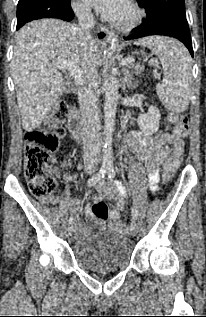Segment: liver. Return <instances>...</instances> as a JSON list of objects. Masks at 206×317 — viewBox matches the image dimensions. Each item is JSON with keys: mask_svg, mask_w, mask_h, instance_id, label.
<instances>
[{"mask_svg": "<svg viewBox=\"0 0 206 317\" xmlns=\"http://www.w3.org/2000/svg\"><path fill=\"white\" fill-rule=\"evenodd\" d=\"M77 30L60 20L42 19L17 33L12 75L25 131H33L43 122L64 89L63 76L52 60H69L84 68L88 56L79 43ZM89 51L93 63H97L100 47L95 40Z\"/></svg>", "mask_w": 206, "mask_h": 317, "instance_id": "6515ba94", "label": "liver"}]
</instances>
